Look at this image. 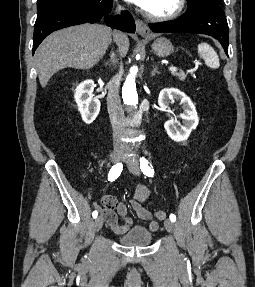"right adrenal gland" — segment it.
<instances>
[{"label": "right adrenal gland", "instance_id": "right-adrenal-gland-1", "mask_svg": "<svg viewBox=\"0 0 255 287\" xmlns=\"http://www.w3.org/2000/svg\"><path fill=\"white\" fill-rule=\"evenodd\" d=\"M110 62H112V64L116 62V54H114V52H110ZM105 64H109V62H105Z\"/></svg>", "mask_w": 255, "mask_h": 287}]
</instances>
